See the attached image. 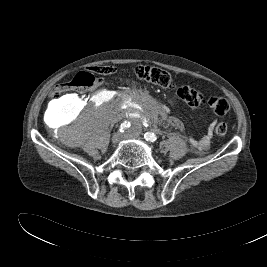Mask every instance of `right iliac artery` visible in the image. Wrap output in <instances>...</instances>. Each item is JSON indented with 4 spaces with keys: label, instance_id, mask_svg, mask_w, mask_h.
Here are the masks:
<instances>
[{
    "label": "right iliac artery",
    "instance_id": "82829eb1",
    "mask_svg": "<svg viewBox=\"0 0 267 267\" xmlns=\"http://www.w3.org/2000/svg\"><path fill=\"white\" fill-rule=\"evenodd\" d=\"M129 127H130V123L129 122H127V121L123 122L121 124V126H120V132H124Z\"/></svg>",
    "mask_w": 267,
    "mask_h": 267
}]
</instances>
